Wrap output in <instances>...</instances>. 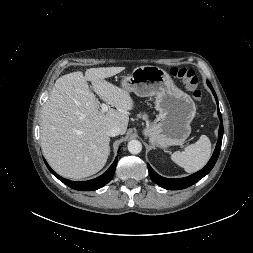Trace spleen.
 <instances>
[{
	"label": "spleen",
	"mask_w": 253,
	"mask_h": 253,
	"mask_svg": "<svg viewBox=\"0 0 253 253\" xmlns=\"http://www.w3.org/2000/svg\"><path fill=\"white\" fill-rule=\"evenodd\" d=\"M211 156V142L206 135L185 148L184 151H176L171 155V160L184 168L188 173H193L203 168Z\"/></svg>",
	"instance_id": "3e777b00"
}]
</instances>
